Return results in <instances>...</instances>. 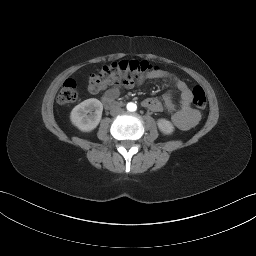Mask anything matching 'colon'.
<instances>
[{
  "mask_svg": "<svg viewBox=\"0 0 256 256\" xmlns=\"http://www.w3.org/2000/svg\"><path fill=\"white\" fill-rule=\"evenodd\" d=\"M158 72L157 67L147 61L123 60L105 64L97 72L89 76V89L92 92L100 91L106 84L117 80L147 77ZM77 99V83L74 79L65 80L58 94L59 103L66 104ZM192 102L198 109L207 105L206 94L202 87L195 86L192 90Z\"/></svg>",
  "mask_w": 256,
  "mask_h": 256,
  "instance_id": "1",
  "label": "colon"
}]
</instances>
